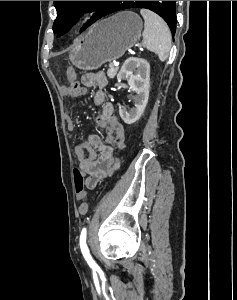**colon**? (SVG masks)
I'll use <instances>...</instances> for the list:
<instances>
[{"instance_id": "1", "label": "colon", "mask_w": 237, "mask_h": 300, "mask_svg": "<svg viewBox=\"0 0 237 300\" xmlns=\"http://www.w3.org/2000/svg\"><path fill=\"white\" fill-rule=\"evenodd\" d=\"M73 72V70H69V73ZM74 90L76 91H82V85L78 82H74L71 84ZM84 176L83 173L80 171V169H75L74 170V184H75V191L77 198L81 201H85L86 199V193L84 191Z\"/></svg>"}]
</instances>
